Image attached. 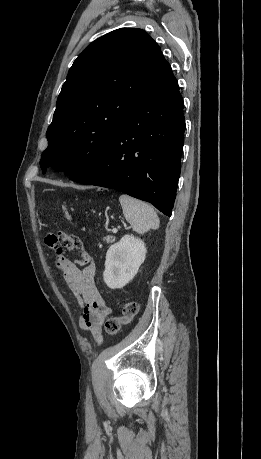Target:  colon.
<instances>
[{
    "label": "colon",
    "mask_w": 261,
    "mask_h": 459,
    "mask_svg": "<svg viewBox=\"0 0 261 459\" xmlns=\"http://www.w3.org/2000/svg\"><path fill=\"white\" fill-rule=\"evenodd\" d=\"M61 212L66 220L70 219V213L66 206H61ZM138 304L136 302H127L123 305L122 315L111 317L105 322V331L108 335L117 334L123 325L129 324L138 313Z\"/></svg>",
    "instance_id": "obj_1"
}]
</instances>
